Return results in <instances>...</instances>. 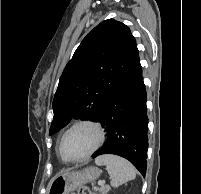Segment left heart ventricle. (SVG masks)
<instances>
[{
  "label": "left heart ventricle",
  "instance_id": "b2bd125f",
  "mask_svg": "<svg viewBox=\"0 0 201 194\" xmlns=\"http://www.w3.org/2000/svg\"><path fill=\"white\" fill-rule=\"evenodd\" d=\"M96 134L89 127H78L70 131L62 143V152L68 158L85 155L95 144Z\"/></svg>",
  "mask_w": 201,
  "mask_h": 194
}]
</instances>
